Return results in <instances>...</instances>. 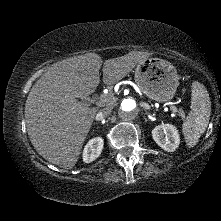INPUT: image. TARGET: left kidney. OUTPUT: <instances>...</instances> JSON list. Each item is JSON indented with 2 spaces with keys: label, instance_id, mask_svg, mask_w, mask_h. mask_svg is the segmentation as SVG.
I'll list each match as a JSON object with an SVG mask.
<instances>
[{
  "label": "left kidney",
  "instance_id": "1",
  "mask_svg": "<svg viewBox=\"0 0 221 221\" xmlns=\"http://www.w3.org/2000/svg\"><path fill=\"white\" fill-rule=\"evenodd\" d=\"M154 141L165 151H175L180 143V136L175 126L171 124H161L152 130Z\"/></svg>",
  "mask_w": 221,
  "mask_h": 221
}]
</instances>
